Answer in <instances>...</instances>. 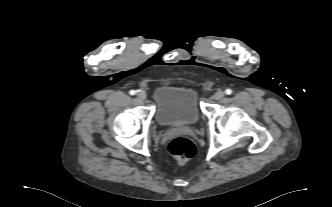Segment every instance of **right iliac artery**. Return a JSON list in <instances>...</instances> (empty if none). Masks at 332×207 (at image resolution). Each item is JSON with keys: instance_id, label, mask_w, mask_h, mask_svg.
Masks as SVG:
<instances>
[{"instance_id": "1", "label": "right iliac artery", "mask_w": 332, "mask_h": 207, "mask_svg": "<svg viewBox=\"0 0 332 207\" xmlns=\"http://www.w3.org/2000/svg\"><path fill=\"white\" fill-rule=\"evenodd\" d=\"M129 93L130 95H135L136 92L134 90H131Z\"/></svg>"}]
</instances>
